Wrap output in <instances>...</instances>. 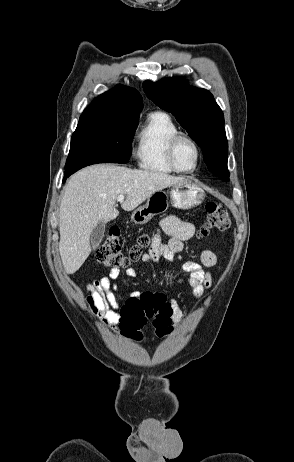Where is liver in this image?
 Masks as SVG:
<instances>
[{"instance_id": "liver-1", "label": "liver", "mask_w": 294, "mask_h": 462, "mask_svg": "<svg viewBox=\"0 0 294 462\" xmlns=\"http://www.w3.org/2000/svg\"><path fill=\"white\" fill-rule=\"evenodd\" d=\"M157 171L129 169L111 164L86 167L71 176L60 204L59 252L65 271L73 274L91 252L90 235L99 222L114 220L117 197L121 207L132 211L153 193L184 181Z\"/></svg>"}]
</instances>
